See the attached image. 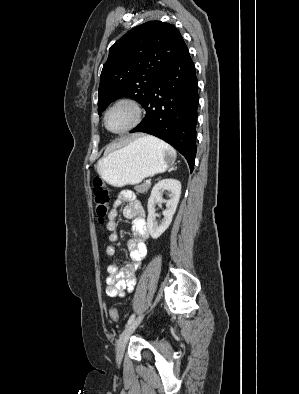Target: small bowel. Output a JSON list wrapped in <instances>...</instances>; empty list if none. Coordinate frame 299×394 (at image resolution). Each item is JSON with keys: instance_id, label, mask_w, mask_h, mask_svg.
Listing matches in <instances>:
<instances>
[{"instance_id": "obj_1", "label": "small bowel", "mask_w": 299, "mask_h": 394, "mask_svg": "<svg viewBox=\"0 0 299 394\" xmlns=\"http://www.w3.org/2000/svg\"><path fill=\"white\" fill-rule=\"evenodd\" d=\"M123 204H126L123 209L124 217L132 221V237L126 244L129 250V260L124 262L122 266H119L117 263H111L107 267V294L112 297L122 296L125 289L131 291L134 288L136 284V269L147 253L145 242L148 232L145 210L136 198V195L130 190L119 193L112 204L108 213V222L106 223L107 239L111 243L117 242L119 239L117 217L119 208ZM105 251L108 256L116 255V248L113 244L107 245Z\"/></svg>"}]
</instances>
